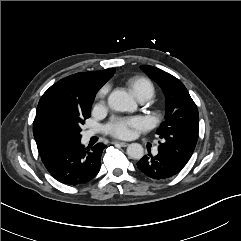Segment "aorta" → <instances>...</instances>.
I'll return each instance as SVG.
<instances>
[{"mask_svg":"<svg viewBox=\"0 0 241 241\" xmlns=\"http://www.w3.org/2000/svg\"><path fill=\"white\" fill-rule=\"evenodd\" d=\"M108 105L111 109L119 112H134L137 104L133 97L123 90H114L108 97ZM127 154L132 159H141L144 149L138 143H132L127 147Z\"/></svg>","mask_w":241,"mask_h":241,"instance_id":"1","label":"aorta"}]
</instances>
